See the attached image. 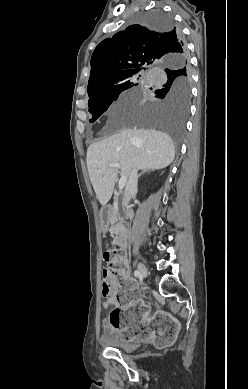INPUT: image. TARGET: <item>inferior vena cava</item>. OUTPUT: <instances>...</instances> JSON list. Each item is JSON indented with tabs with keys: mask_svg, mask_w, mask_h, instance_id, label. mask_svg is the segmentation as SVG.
I'll return each mask as SVG.
<instances>
[{
	"mask_svg": "<svg viewBox=\"0 0 248 389\" xmlns=\"http://www.w3.org/2000/svg\"><path fill=\"white\" fill-rule=\"evenodd\" d=\"M138 168H134L129 175V180L125 188L123 205H128L131 197L137 193L138 190Z\"/></svg>",
	"mask_w": 248,
	"mask_h": 389,
	"instance_id": "obj_1",
	"label": "inferior vena cava"
}]
</instances>
